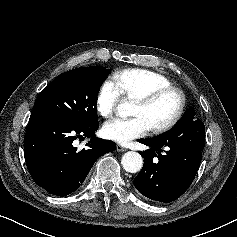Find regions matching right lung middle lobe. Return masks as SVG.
<instances>
[{"label":"right lung middle lobe","mask_w":237,"mask_h":237,"mask_svg":"<svg viewBox=\"0 0 237 237\" xmlns=\"http://www.w3.org/2000/svg\"><path fill=\"white\" fill-rule=\"evenodd\" d=\"M109 73L102 66L62 73L42 90L32 113H44L81 125L97 123V95Z\"/></svg>","instance_id":"obj_1"}]
</instances>
